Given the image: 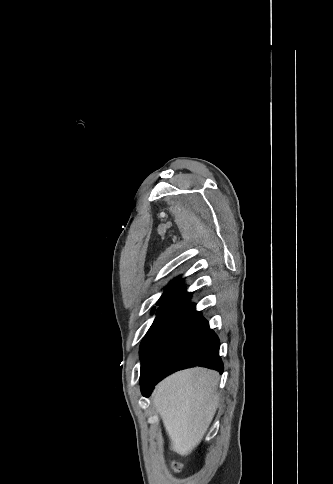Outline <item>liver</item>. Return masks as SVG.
Wrapping results in <instances>:
<instances>
[{"label": "liver", "instance_id": "6515ba94", "mask_svg": "<svg viewBox=\"0 0 333 484\" xmlns=\"http://www.w3.org/2000/svg\"><path fill=\"white\" fill-rule=\"evenodd\" d=\"M219 373L196 367L160 382L152 395L170 438L171 448L189 455L203 439L218 406Z\"/></svg>", "mask_w": 333, "mask_h": 484}]
</instances>
